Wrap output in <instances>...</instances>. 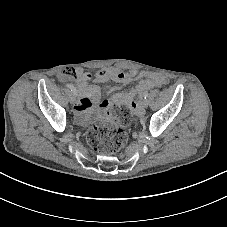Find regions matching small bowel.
<instances>
[{
	"instance_id": "1",
	"label": "small bowel",
	"mask_w": 227,
	"mask_h": 227,
	"mask_svg": "<svg viewBox=\"0 0 227 227\" xmlns=\"http://www.w3.org/2000/svg\"><path fill=\"white\" fill-rule=\"evenodd\" d=\"M137 78V72L131 70L128 73L115 67H108L95 73H86L83 70H77L76 73V86L78 88L80 98L75 106V117L81 124H86L89 121V112L98 101L101 88L98 85H88L89 80L96 82H106L109 80L130 83ZM167 83V79L155 74L149 78L142 80L138 86L130 93H118L111 99L104 100L101 103V107L108 109L115 104H127L136 112H140V105L137 101L147 90L161 86Z\"/></svg>"
}]
</instances>
